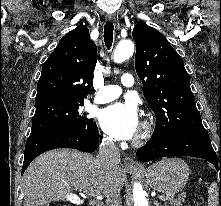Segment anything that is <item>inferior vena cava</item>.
I'll return each mask as SVG.
<instances>
[{"mask_svg":"<svg viewBox=\"0 0 221 206\" xmlns=\"http://www.w3.org/2000/svg\"><path fill=\"white\" fill-rule=\"evenodd\" d=\"M98 160L107 167L116 168L121 159L119 149L116 147L113 139H103ZM106 206H122V199L120 193L112 192L106 194Z\"/></svg>","mask_w":221,"mask_h":206,"instance_id":"obj_1","label":"inferior vena cava"}]
</instances>
